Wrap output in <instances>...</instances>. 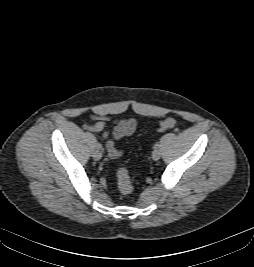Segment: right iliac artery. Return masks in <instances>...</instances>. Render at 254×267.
Segmentation results:
<instances>
[{
    "instance_id": "1",
    "label": "right iliac artery",
    "mask_w": 254,
    "mask_h": 267,
    "mask_svg": "<svg viewBox=\"0 0 254 267\" xmlns=\"http://www.w3.org/2000/svg\"><path fill=\"white\" fill-rule=\"evenodd\" d=\"M96 147H97L98 149H100V148H102V145H101L100 143H97V144H96Z\"/></svg>"
}]
</instances>
